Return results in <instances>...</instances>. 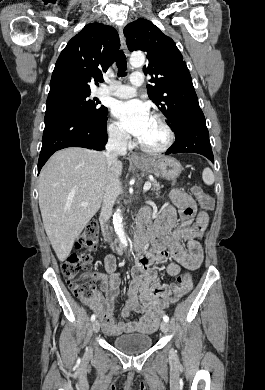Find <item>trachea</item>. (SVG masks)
Wrapping results in <instances>:
<instances>
[{"mask_svg":"<svg viewBox=\"0 0 265 390\" xmlns=\"http://www.w3.org/2000/svg\"><path fill=\"white\" fill-rule=\"evenodd\" d=\"M116 65L118 68V76L122 77L126 75L127 61H126V56L122 51L118 53L116 59Z\"/></svg>","mask_w":265,"mask_h":390,"instance_id":"obj_1","label":"trachea"}]
</instances>
